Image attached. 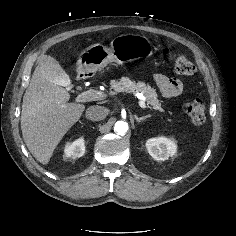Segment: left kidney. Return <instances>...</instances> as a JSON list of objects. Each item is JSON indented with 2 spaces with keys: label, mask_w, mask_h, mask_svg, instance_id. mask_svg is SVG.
Returning a JSON list of instances; mask_svg holds the SVG:
<instances>
[{
  "label": "left kidney",
  "mask_w": 236,
  "mask_h": 236,
  "mask_svg": "<svg viewBox=\"0 0 236 236\" xmlns=\"http://www.w3.org/2000/svg\"><path fill=\"white\" fill-rule=\"evenodd\" d=\"M148 153L157 161H165L177 152L174 140L166 137L151 138L146 141Z\"/></svg>",
  "instance_id": "left-kidney-1"
}]
</instances>
